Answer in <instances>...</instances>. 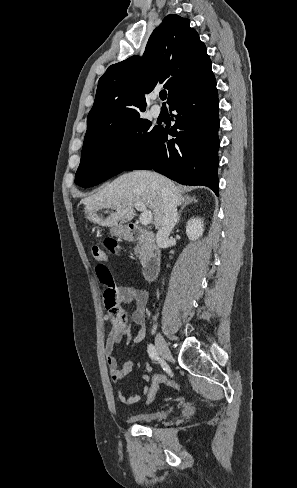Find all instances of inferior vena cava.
Segmentation results:
<instances>
[{
  "label": "inferior vena cava",
  "instance_id": "602c4592",
  "mask_svg": "<svg viewBox=\"0 0 297 488\" xmlns=\"http://www.w3.org/2000/svg\"><path fill=\"white\" fill-rule=\"evenodd\" d=\"M164 215L160 228L156 235V242L159 247L167 243L169 235L177 222V204L174 195L168 188L162 190Z\"/></svg>",
  "mask_w": 297,
  "mask_h": 488
}]
</instances>
